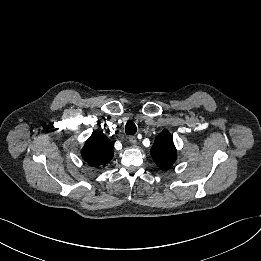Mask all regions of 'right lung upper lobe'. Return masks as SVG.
Returning a JSON list of instances; mask_svg holds the SVG:
<instances>
[{
	"label": "right lung upper lobe",
	"instance_id": "1",
	"mask_svg": "<svg viewBox=\"0 0 261 261\" xmlns=\"http://www.w3.org/2000/svg\"><path fill=\"white\" fill-rule=\"evenodd\" d=\"M84 160L94 167H101L111 161L114 154V146L103 133L95 131L86 141L81 150Z\"/></svg>",
	"mask_w": 261,
	"mask_h": 261
}]
</instances>
